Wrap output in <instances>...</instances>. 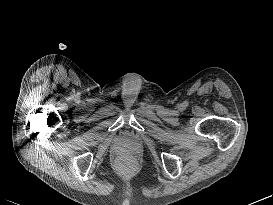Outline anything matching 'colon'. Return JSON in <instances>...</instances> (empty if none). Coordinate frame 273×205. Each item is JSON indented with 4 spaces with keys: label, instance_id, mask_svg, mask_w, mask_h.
<instances>
[{
    "label": "colon",
    "instance_id": "5ec220e1",
    "mask_svg": "<svg viewBox=\"0 0 273 205\" xmlns=\"http://www.w3.org/2000/svg\"><path fill=\"white\" fill-rule=\"evenodd\" d=\"M121 166H122V167H125V162H122V163H121Z\"/></svg>",
    "mask_w": 273,
    "mask_h": 205
}]
</instances>
